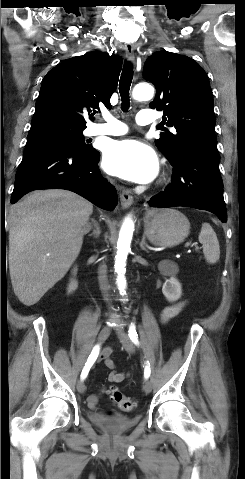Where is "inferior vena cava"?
Instances as JSON below:
<instances>
[{
  "label": "inferior vena cava",
  "instance_id": "obj_1",
  "mask_svg": "<svg viewBox=\"0 0 245 479\" xmlns=\"http://www.w3.org/2000/svg\"><path fill=\"white\" fill-rule=\"evenodd\" d=\"M98 280H99L100 290L105 300L108 301L109 284H108V278H107V268H106V265L104 264L99 266Z\"/></svg>",
  "mask_w": 245,
  "mask_h": 479
}]
</instances>
